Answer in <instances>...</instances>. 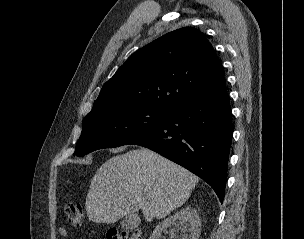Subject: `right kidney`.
Masks as SVG:
<instances>
[{
  "label": "right kidney",
  "mask_w": 304,
  "mask_h": 239,
  "mask_svg": "<svg viewBox=\"0 0 304 239\" xmlns=\"http://www.w3.org/2000/svg\"><path fill=\"white\" fill-rule=\"evenodd\" d=\"M176 225L171 231V239H199L201 222L197 211L190 206L181 208L159 223L153 230L150 239H159L168 227Z\"/></svg>",
  "instance_id": "1"
}]
</instances>
